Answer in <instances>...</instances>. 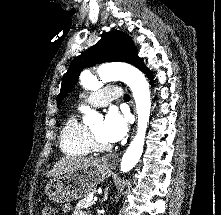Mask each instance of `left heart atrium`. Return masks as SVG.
Segmentation results:
<instances>
[{"label":"left heart atrium","instance_id":"left-heart-atrium-1","mask_svg":"<svg viewBox=\"0 0 221 215\" xmlns=\"http://www.w3.org/2000/svg\"><path fill=\"white\" fill-rule=\"evenodd\" d=\"M128 125L124 116L116 110L107 113L102 123L100 135L106 143H114L121 140L127 133Z\"/></svg>","mask_w":221,"mask_h":215}]
</instances>
